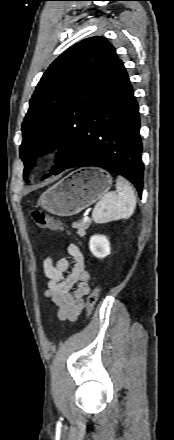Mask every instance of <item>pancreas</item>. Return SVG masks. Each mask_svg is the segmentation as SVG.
Returning a JSON list of instances; mask_svg holds the SVG:
<instances>
[{
    "instance_id": "cf45deb5",
    "label": "pancreas",
    "mask_w": 174,
    "mask_h": 440,
    "mask_svg": "<svg viewBox=\"0 0 174 440\" xmlns=\"http://www.w3.org/2000/svg\"><path fill=\"white\" fill-rule=\"evenodd\" d=\"M92 221L89 220L87 222L85 221H78V222H74L72 224L73 228L77 229V234L80 235L81 237L85 236L86 234V230L89 228V226L91 225Z\"/></svg>"
}]
</instances>
